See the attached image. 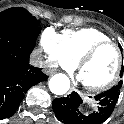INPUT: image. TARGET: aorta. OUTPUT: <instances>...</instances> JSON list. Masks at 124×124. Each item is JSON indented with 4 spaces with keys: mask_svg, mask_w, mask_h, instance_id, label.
<instances>
[{
    "mask_svg": "<svg viewBox=\"0 0 124 124\" xmlns=\"http://www.w3.org/2000/svg\"><path fill=\"white\" fill-rule=\"evenodd\" d=\"M49 89L55 95H63L70 88V80L65 74H55L49 80Z\"/></svg>",
    "mask_w": 124,
    "mask_h": 124,
    "instance_id": "762f6f07",
    "label": "aorta"
}]
</instances>
